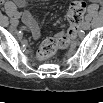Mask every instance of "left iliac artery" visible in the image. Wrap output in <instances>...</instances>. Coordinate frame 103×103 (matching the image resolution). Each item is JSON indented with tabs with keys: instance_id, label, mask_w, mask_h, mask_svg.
<instances>
[{
	"instance_id": "1",
	"label": "left iliac artery",
	"mask_w": 103,
	"mask_h": 103,
	"mask_svg": "<svg viewBox=\"0 0 103 103\" xmlns=\"http://www.w3.org/2000/svg\"><path fill=\"white\" fill-rule=\"evenodd\" d=\"M91 19H92L91 15L87 14L86 17H85V20L86 21H91Z\"/></svg>"
}]
</instances>
